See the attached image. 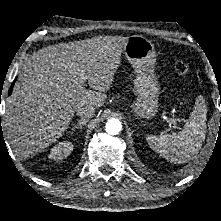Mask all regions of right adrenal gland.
<instances>
[{"mask_svg": "<svg viewBox=\"0 0 221 221\" xmlns=\"http://www.w3.org/2000/svg\"><path fill=\"white\" fill-rule=\"evenodd\" d=\"M88 122V120H85V119H81V120H78V123L77 125H74L72 127V131H74L75 129H83V126Z\"/></svg>", "mask_w": 221, "mask_h": 221, "instance_id": "obj_1", "label": "right adrenal gland"}]
</instances>
